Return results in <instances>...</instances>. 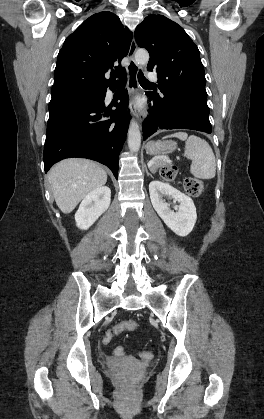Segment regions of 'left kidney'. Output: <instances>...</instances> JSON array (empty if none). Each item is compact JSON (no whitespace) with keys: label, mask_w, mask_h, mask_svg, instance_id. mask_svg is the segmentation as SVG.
<instances>
[{"label":"left kidney","mask_w":264,"mask_h":419,"mask_svg":"<svg viewBox=\"0 0 264 419\" xmlns=\"http://www.w3.org/2000/svg\"><path fill=\"white\" fill-rule=\"evenodd\" d=\"M149 193L154 209L174 233L184 237L193 230L197 220V214L193 200L189 196L172 187L170 184L157 180L149 184ZM164 196L179 203L176 211L171 210L170 203H167L163 199Z\"/></svg>","instance_id":"5707ae66"}]
</instances>
